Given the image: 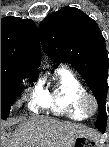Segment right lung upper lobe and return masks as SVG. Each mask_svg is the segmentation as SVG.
I'll use <instances>...</instances> for the list:
<instances>
[{
  "instance_id": "1",
  "label": "right lung upper lobe",
  "mask_w": 109,
  "mask_h": 147,
  "mask_svg": "<svg viewBox=\"0 0 109 147\" xmlns=\"http://www.w3.org/2000/svg\"><path fill=\"white\" fill-rule=\"evenodd\" d=\"M41 63L39 33L30 19H1V64L22 67L38 74Z\"/></svg>"
}]
</instances>
